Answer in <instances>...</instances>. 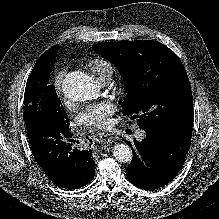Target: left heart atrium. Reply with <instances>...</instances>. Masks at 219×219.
Returning <instances> with one entry per match:
<instances>
[{
	"mask_svg": "<svg viewBox=\"0 0 219 219\" xmlns=\"http://www.w3.org/2000/svg\"><path fill=\"white\" fill-rule=\"evenodd\" d=\"M115 111L112 103L103 102L87 108L79 116L80 122L93 127H105L109 123V116Z\"/></svg>",
	"mask_w": 219,
	"mask_h": 219,
	"instance_id": "1",
	"label": "left heart atrium"
}]
</instances>
